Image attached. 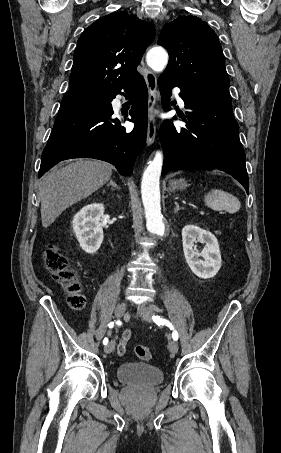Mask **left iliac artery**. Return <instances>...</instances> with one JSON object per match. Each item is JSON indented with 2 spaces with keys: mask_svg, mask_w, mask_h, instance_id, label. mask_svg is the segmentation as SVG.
<instances>
[{
  "mask_svg": "<svg viewBox=\"0 0 281 453\" xmlns=\"http://www.w3.org/2000/svg\"><path fill=\"white\" fill-rule=\"evenodd\" d=\"M152 319L153 321L156 323V324H161V325H166L168 326L171 330H173V333H172V338L176 341L178 340V333L176 330H174V327L172 325V323H170L168 320L166 319H162L160 318V316H152Z\"/></svg>",
  "mask_w": 281,
  "mask_h": 453,
  "instance_id": "44dca946",
  "label": "left iliac artery"
}]
</instances>
